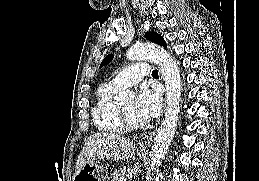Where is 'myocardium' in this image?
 Instances as JSON below:
<instances>
[{
	"label": "myocardium",
	"instance_id": "myocardium-1",
	"mask_svg": "<svg viewBox=\"0 0 259 181\" xmlns=\"http://www.w3.org/2000/svg\"><path fill=\"white\" fill-rule=\"evenodd\" d=\"M122 121L125 125L126 128L130 130H138L143 127V123L140 122L139 120L134 119L127 113H125L122 109H119Z\"/></svg>",
	"mask_w": 259,
	"mask_h": 181
}]
</instances>
